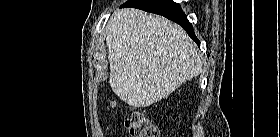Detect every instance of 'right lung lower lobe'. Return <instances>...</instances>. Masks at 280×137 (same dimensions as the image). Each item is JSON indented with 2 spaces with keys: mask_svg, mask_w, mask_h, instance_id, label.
<instances>
[{
  "mask_svg": "<svg viewBox=\"0 0 280 137\" xmlns=\"http://www.w3.org/2000/svg\"><path fill=\"white\" fill-rule=\"evenodd\" d=\"M121 7H133L162 15L183 27L188 35L199 45L193 27L178 3L173 0H128Z\"/></svg>",
  "mask_w": 280,
  "mask_h": 137,
  "instance_id": "98d812e1",
  "label": "right lung lower lobe"
}]
</instances>
